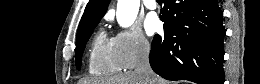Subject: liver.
<instances>
[{
    "label": "liver",
    "instance_id": "obj_1",
    "mask_svg": "<svg viewBox=\"0 0 260 84\" xmlns=\"http://www.w3.org/2000/svg\"><path fill=\"white\" fill-rule=\"evenodd\" d=\"M156 84H169L168 81L155 75ZM82 84H144V79L134 71H128L124 74L114 75L112 77L101 79H90L81 81Z\"/></svg>",
    "mask_w": 260,
    "mask_h": 84
}]
</instances>
